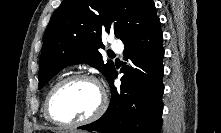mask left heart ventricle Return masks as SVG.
Masks as SVG:
<instances>
[{"label": "left heart ventricle", "mask_w": 221, "mask_h": 133, "mask_svg": "<svg viewBox=\"0 0 221 133\" xmlns=\"http://www.w3.org/2000/svg\"><path fill=\"white\" fill-rule=\"evenodd\" d=\"M99 100V90L92 82L75 80L60 86L54 92L50 110L58 121H78L88 117L96 109Z\"/></svg>", "instance_id": "left-heart-ventricle-1"}]
</instances>
